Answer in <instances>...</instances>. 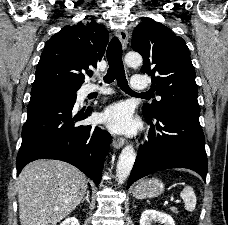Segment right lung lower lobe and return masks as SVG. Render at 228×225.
<instances>
[{"label":"right lung lower lobe","mask_w":228,"mask_h":225,"mask_svg":"<svg viewBox=\"0 0 228 225\" xmlns=\"http://www.w3.org/2000/svg\"><path fill=\"white\" fill-rule=\"evenodd\" d=\"M75 101L55 98L28 105L16 159L17 175L31 161L57 159L74 165L99 184L111 136L98 126L78 125L92 108L77 112Z\"/></svg>","instance_id":"obj_1"}]
</instances>
